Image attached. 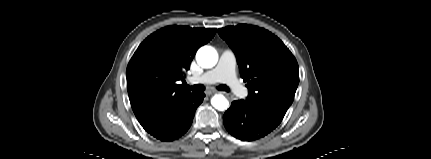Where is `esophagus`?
<instances>
[{
	"instance_id": "esophagus-1",
	"label": "esophagus",
	"mask_w": 431,
	"mask_h": 159,
	"mask_svg": "<svg viewBox=\"0 0 431 159\" xmlns=\"http://www.w3.org/2000/svg\"><path fill=\"white\" fill-rule=\"evenodd\" d=\"M216 92H217L216 90H214V89H210V90H207V91H206V95L210 96V95H212V94H214V93H216Z\"/></svg>"
}]
</instances>
